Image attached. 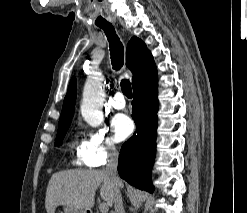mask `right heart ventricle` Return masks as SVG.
<instances>
[{
  "mask_svg": "<svg viewBox=\"0 0 247 213\" xmlns=\"http://www.w3.org/2000/svg\"><path fill=\"white\" fill-rule=\"evenodd\" d=\"M80 146H81V145L78 144V142H76V141L72 143V147L76 148V149H77V152L79 151Z\"/></svg>",
  "mask_w": 247,
  "mask_h": 213,
  "instance_id": "e07e8e85",
  "label": "right heart ventricle"
}]
</instances>
